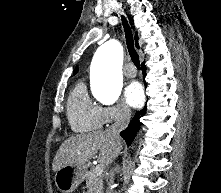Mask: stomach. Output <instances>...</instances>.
Listing matches in <instances>:
<instances>
[{"label": "stomach", "instance_id": "0dacf381", "mask_svg": "<svg viewBox=\"0 0 221 193\" xmlns=\"http://www.w3.org/2000/svg\"><path fill=\"white\" fill-rule=\"evenodd\" d=\"M87 174L84 165H65L55 173V184L62 193H72L85 179Z\"/></svg>", "mask_w": 221, "mask_h": 193}]
</instances>
